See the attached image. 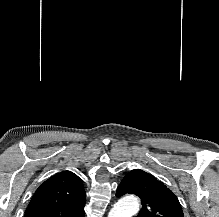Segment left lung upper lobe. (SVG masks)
<instances>
[{"label": "left lung upper lobe", "instance_id": "obj_1", "mask_svg": "<svg viewBox=\"0 0 219 217\" xmlns=\"http://www.w3.org/2000/svg\"><path fill=\"white\" fill-rule=\"evenodd\" d=\"M128 193L141 199L142 209L137 217H184L176 195L143 170L134 169L123 178L116 196Z\"/></svg>", "mask_w": 219, "mask_h": 217}]
</instances>
